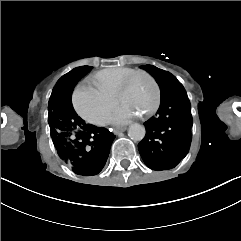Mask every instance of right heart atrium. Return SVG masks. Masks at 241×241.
Here are the masks:
<instances>
[{
    "label": "right heart atrium",
    "instance_id": "d8ad5b80",
    "mask_svg": "<svg viewBox=\"0 0 241 241\" xmlns=\"http://www.w3.org/2000/svg\"><path fill=\"white\" fill-rule=\"evenodd\" d=\"M104 95L107 98H104ZM114 97L111 92H102L95 84H89V87L79 86L73 92L72 100L76 112L86 122L103 125L113 109Z\"/></svg>",
    "mask_w": 241,
    "mask_h": 241
}]
</instances>
